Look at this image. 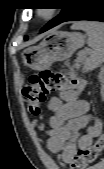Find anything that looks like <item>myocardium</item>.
Returning a JSON list of instances; mask_svg holds the SVG:
<instances>
[{
    "label": "myocardium",
    "instance_id": "1",
    "mask_svg": "<svg viewBox=\"0 0 104 169\" xmlns=\"http://www.w3.org/2000/svg\"><path fill=\"white\" fill-rule=\"evenodd\" d=\"M52 10H37V15L41 18L44 19H50L53 17V12H51Z\"/></svg>",
    "mask_w": 104,
    "mask_h": 169
}]
</instances>
